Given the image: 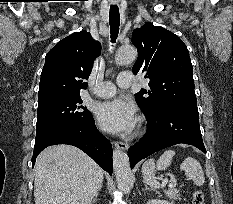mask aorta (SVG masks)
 <instances>
[{
    "instance_id": "aorta-1",
    "label": "aorta",
    "mask_w": 233,
    "mask_h": 204,
    "mask_svg": "<svg viewBox=\"0 0 233 204\" xmlns=\"http://www.w3.org/2000/svg\"><path fill=\"white\" fill-rule=\"evenodd\" d=\"M136 58L137 50L135 47L122 46L116 53L115 61L119 65H126L134 62ZM113 166L119 188L124 192H128L131 182V169L127 154L119 149L114 150Z\"/></svg>"
}]
</instances>
